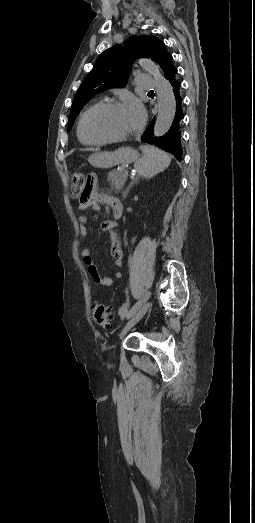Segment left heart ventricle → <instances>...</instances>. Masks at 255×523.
<instances>
[{
    "label": "left heart ventricle",
    "instance_id": "1",
    "mask_svg": "<svg viewBox=\"0 0 255 523\" xmlns=\"http://www.w3.org/2000/svg\"><path fill=\"white\" fill-rule=\"evenodd\" d=\"M86 133L95 138H110L132 134L138 124L130 104L103 107L92 111L85 120Z\"/></svg>",
    "mask_w": 255,
    "mask_h": 523
}]
</instances>
